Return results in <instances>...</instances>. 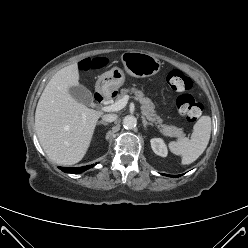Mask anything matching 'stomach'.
<instances>
[{
	"mask_svg": "<svg viewBox=\"0 0 248 248\" xmlns=\"http://www.w3.org/2000/svg\"><path fill=\"white\" fill-rule=\"evenodd\" d=\"M124 70L114 67L103 73L96 82V90L103 95H110L118 90L125 82L124 71L138 78L150 77L160 71V61L152 55L126 51L121 55Z\"/></svg>",
	"mask_w": 248,
	"mask_h": 248,
	"instance_id": "0dacf381",
	"label": "stomach"
}]
</instances>
